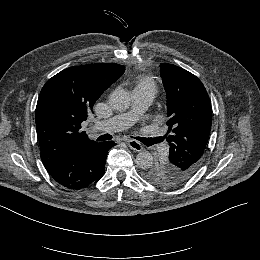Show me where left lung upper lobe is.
Masks as SVG:
<instances>
[{"mask_svg":"<svg viewBox=\"0 0 260 260\" xmlns=\"http://www.w3.org/2000/svg\"><path fill=\"white\" fill-rule=\"evenodd\" d=\"M167 95L169 159L143 171L158 186L172 187L190 178L199 168L211 129V103L201 81L175 65L160 64Z\"/></svg>","mask_w":260,"mask_h":260,"instance_id":"1","label":"left lung upper lobe"}]
</instances>
